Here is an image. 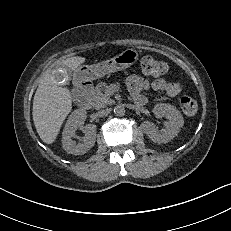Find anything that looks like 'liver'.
Masks as SVG:
<instances>
[{
	"label": "liver",
	"mask_w": 231,
	"mask_h": 231,
	"mask_svg": "<svg viewBox=\"0 0 231 231\" xmlns=\"http://www.w3.org/2000/svg\"><path fill=\"white\" fill-rule=\"evenodd\" d=\"M84 57L74 56L63 60V68L76 71L85 62ZM54 71L40 82L33 99V121L38 135L44 143L52 144L72 109L68 88L60 87L54 79Z\"/></svg>",
	"instance_id": "6515ba94"
}]
</instances>
